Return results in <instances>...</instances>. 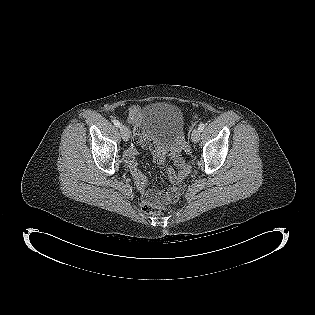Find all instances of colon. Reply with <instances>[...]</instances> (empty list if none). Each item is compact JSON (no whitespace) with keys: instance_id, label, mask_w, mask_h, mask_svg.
I'll return each mask as SVG.
<instances>
[{"instance_id":"1","label":"colon","mask_w":315,"mask_h":315,"mask_svg":"<svg viewBox=\"0 0 315 315\" xmlns=\"http://www.w3.org/2000/svg\"><path fill=\"white\" fill-rule=\"evenodd\" d=\"M177 165L179 167V172L175 178V185L165 195H163L160 202L155 203L151 201H144L141 206L143 212L151 215H161L166 209L165 201L174 200L178 197L183 189L182 180L188 173V165L182 158H178Z\"/></svg>"}]
</instances>
